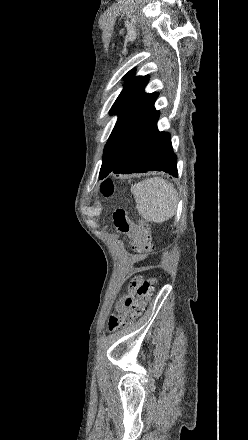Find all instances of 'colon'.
Segmentation results:
<instances>
[{"label":"colon","mask_w":248,"mask_h":440,"mask_svg":"<svg viewBox=\"0 0 248 440\" xmlns=\"http://www.w3.org/2000/svg\"><path fill=\"white\" fill-rule=\"evenodd\" d=\"M101 190L105 196H109L113 192L112 183L110 181L103 183ZM113 220L119 231L123 233L130 231L132 225L125 211L117 210L113 215ZM139 228L140 236L137 250L150 254L154 250L151 227L149 223L141 221ZM154 287L155 279L151 276L133 278L129 285V292L123 301V309L109 317V330L118 331L133 324L147 307Z\"/></svg>","instance_id":"colon-1"}]
</instances>
